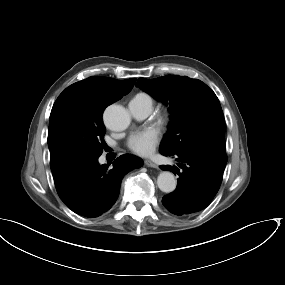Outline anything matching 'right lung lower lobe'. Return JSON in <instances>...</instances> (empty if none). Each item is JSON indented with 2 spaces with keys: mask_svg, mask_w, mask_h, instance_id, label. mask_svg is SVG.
Listing matches in <instances>:
<instances>
[{
  "mask_svg": "<svg viewBox=\"0 0 285 285\" xmlns=\"http://www.w3.org/2000/svg\"><path fill=\"white\" fill-rule=\"evenodd\" d=\"M98 157L81 160L53 172L55 187L64 204L78 215L93 218L108 211L116 202L122 177L140 168L143 161L124 154L109 164L100 165Z\"/></svg>",
  "mask_w": 285,
  "mask_h": 285,
  "instance_id": "obj_1",
  "label": "right lung lower lobe"
}]
</instances>
